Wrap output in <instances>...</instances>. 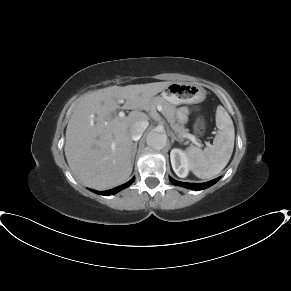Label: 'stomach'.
<instances>
[{
	"label": "stomach",
	"mask_w": 291,
	"mask_h": 291,
	"mask_svg": "<svg viewBox=\"0 0 291 291\" xmlns=\"http://www.w3.org/2000/svg\"><path fill=\"white\" fill-rule=\"evenodd\" d=\"M162 96L172 104L198 103L205 99L206 91L191 83L173 82L162 91Z\"/></svg>",
	"instance_id": "obj_1"
}]
</instances>
